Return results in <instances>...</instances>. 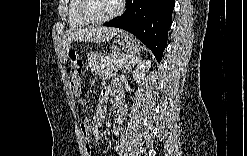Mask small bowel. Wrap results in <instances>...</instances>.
Masks as SVG:
<instances>
[{
  "label": "small bowel",
  "mask_w": 247,
  "mask_h": 156,
  "mask_svg": "<svg viewBox=\"0 0 247 156\" xmlns=\"http://www.w3.org/2000/svg\"><path fill=\"white\" fill-rule=\"evenodd\" d=\"M80 72H81V64L74 61L72 63V65L70 66V77H71L72 86L75 88V90L77 92H79ZM112 94L115 95L117 107H121L124 111L125 107H124L123 95H122L121 89L118 86L106 87L103 89L101 96H100V100H101L100 109H102L103 103L106 102L108 100V98L110 97V95H112ZM101 121H102V115L100 114L96 119V123L100 124ZM120 124H121V120L117 121L115 126H114V132L116 134H118V132L120 130ZM83 134H84V130H83ZM84 137H85V143H86L85 153L87 155H90L91 154L90 138H88L85 135H84ZM95 140L98 142H101L102 141L101 134H99V136L96 137Z\"/></svg>",
  "instance_id": "1"
}]
</instances>
